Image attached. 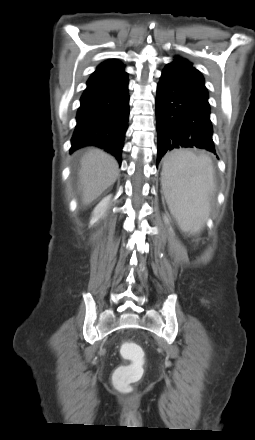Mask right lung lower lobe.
<instances>
[{
    "instance_id": "98d812e1",
    "label": "right lung lower lobe",
    "mask_w": 255,
    "mask_h": 440,
    "mask_svg": "<svg viewBox=\"0 0 255 440\" xmlns=\"http://www.w3.org/2000/svg\"><path fill=\"white\" fill-rule=\"evenodd\" d=\"M77 111L71 153L94 145L115 156L119 164L128 128V75L124 66L89 79Z\"/></svg>"
}]
</instances>
